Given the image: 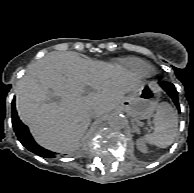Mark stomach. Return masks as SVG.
Returning a JSON list of instances; mask_svg holds the SVG:
<instances>
[{
	"label": "stomach",
	"instance_id": "0dacf381",
	"mask_svg": "<svg viewBox=\"0 0 194 193\" xmlns=\"http://www.w3.org/2000/svg\"><path fill=\"white\" fill-rule=\"evenodd\" d=\"M159 94L155 82H143L137 90L122 100L120 108L133 118L146 119L157 108Z\"/></svg>",
	"mask_w": 194,
	"mask_h": 193
}]
</instances>
